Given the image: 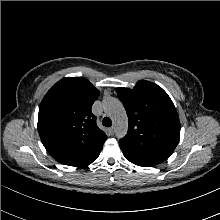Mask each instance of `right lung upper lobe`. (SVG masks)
Masks as SVG:
<instances>
[{
    "label": "right lung upper lobe",
    "mask_w": 220,
    "mask_h": 220,
    "mask_svg": "<svg viewBox=\"0 0 220 220\" xmlns=\"http://www.w3.org/2000/svg\"><path fill=\"white\" fill-rule=\"evenodd\" d=\"M99 94L87 79L66 77L44 96L38 132L48 153L59 163L83 167L98 158L107 139L91 111Z\"/></svg>",
    "instance_id": "1"
}]
</instances>
